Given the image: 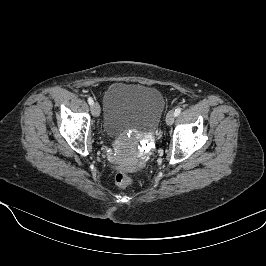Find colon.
Listing matches in <instances>:
<instances>
[{
	"label": "colon",
	"mask_w": 266,
	"mask_h": 266,
	"mask_svg": "<svg viewBox=\"0 0 266 266\" xmlns=\"http://www.w3.org/2000/svg\"><path fill=\"white\" fill-rule=\"evenodd\" d=\"M115 182L119 187L126 188L132 185L133 180L126 172H118L115 175Z\"/></svg>",
	"instance_id": "5ec220e1"
}]
</instances>
